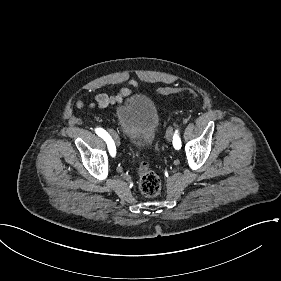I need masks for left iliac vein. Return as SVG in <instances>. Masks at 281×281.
I'll return each mask as SVG.
<instances>
[{
    "instance_id": "4c4485c4",
    "label": "left iliac vein",
    "mask_w": 281,
    "mask_h": 281,
    "mask_svg": "<svg viewBox=\"0 0 281 281\" xmlns=\"http://www.w3.org/2000/svg\"><path fill=\"white\" fill-rule=\"evenodd\" d=\"M166 138L168 141H171L173 138V128L169 127L167 132H166Z\"/></svg>"
}]
</instances>
